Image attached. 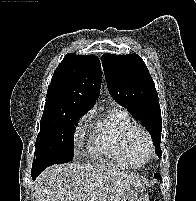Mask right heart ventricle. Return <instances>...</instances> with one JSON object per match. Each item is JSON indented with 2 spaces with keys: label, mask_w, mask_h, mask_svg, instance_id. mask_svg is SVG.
Returning <instances> with one entry per match:
<instances>
[{
  "label": "right heart ventricle",
  "mask_w": 196,
  "mask_h": 201,
  "mask_svg": "<svg viewBox=\"0 0 196 201\" xmlns=\"http://www.w3.org/2000/svg\"><path fill=\"white\" fill-rule=\"evenodd\" d=\"M135 126L130 114L121 108L109 110L92 127L90 151L99 160L117 167L128 168L126 136Z\"/></svg>",
  "instance_id": "e07e8e85"
}]
</instances>
